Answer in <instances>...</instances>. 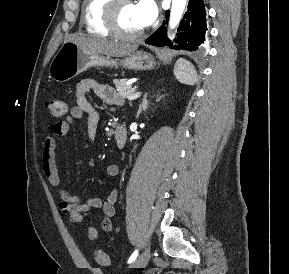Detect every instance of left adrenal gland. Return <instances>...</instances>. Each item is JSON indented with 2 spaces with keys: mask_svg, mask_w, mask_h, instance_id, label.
Listing matches in <instances>:
<instances>
[{
  "mask_svg": "<svg viewBox=\"0 0 289 274\" xmlns=\"http://www.w3.org/2000/svg\"><path fill=\"white\" fill-rule=\"evenodd\" d=\"M162 97H163V95L159 96L156 101H159ZM147 107H148V100H147V95H145L143 97L142 103L140 104V110L145 111L147 109Z\"/></svg>",
  "mask_w": 289,
  "mask_h": 274,
  "instance_id": "left-adrenal-gland-1",
  "label": "left adrenal gland"
}]
</instances>
